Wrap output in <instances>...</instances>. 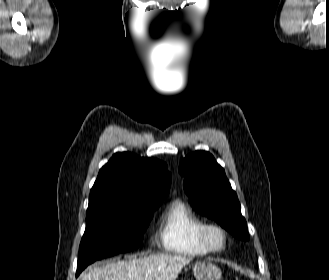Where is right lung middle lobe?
<instances>
[{"label":"right lung middle lobe","instance_id":"obj_1","mask_svg":"<svg viewBox=\"0 0 329 280\" xmlns=\"http://www.w3.org/2000/svg\"><path fill=\"white\" fill-rule=\"evenodd\" d=\"M161 200L100 204L86 214L76 277L92 262L138 248Z\"/></svg>","mask_w":329,"mask_h":280}]
</instances>
